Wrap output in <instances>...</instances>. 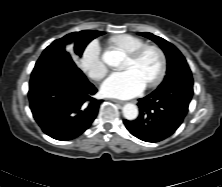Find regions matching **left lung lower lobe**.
<instances>
[{"instance_id":"1","label":"left lung lower lobe","mask_w":222,"mask_h":187,"mask_svg":"<svg viewBox=\"0 0 222 187\" xmlns=\"http://www.w3.org/2000/svg\"><path fill=\"white\" fill-rule=\"evenodd\" d=\"M181 85L170 93L173 85L140 98L138 118L123 120L128 131L146 142H159L171 136L183 122L193 95L192 77H183Z\"/></svg>"}]
</instances>
